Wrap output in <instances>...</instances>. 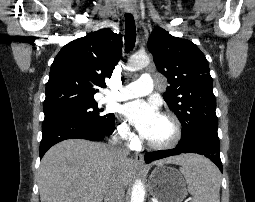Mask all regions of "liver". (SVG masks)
I'll use <instances>...</instances> for the list:
<instances>
[{
  "instance_id": "1",
  "label": "liver",
  "mask_w": 255,
  "mask_h": 202,
  "mask_svg": "<svg viewBox=\"0 0 255 202\" xmlns=\"http://www.w3.org/2000/svg\"><path fill=\"white\" fill-rule=\"evenodd\" d=\"M193 155L183 154L156 161L185 165ZM134 161L119 159L109 146L83 139H68L51 147L39 168L41 202H102L112 179L128 186Z\"/></svg>"
}]
</instances>
